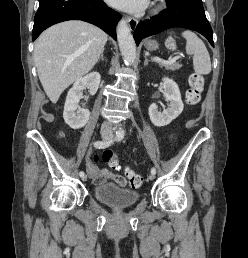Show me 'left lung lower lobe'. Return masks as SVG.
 Here are the masks:
<instances>
[{
	"label": "left lung lower lobe",
	"instance_id": "1",
	"mask_svg": "<svg viewBox=\"0 0 248 258\" xmlns=\"http://www.w3.org/2000/svg\"><path fill=\"white\" fill-rule=\"evenodd\" d=\"M167 9L158 16L142 21L133 34L136 44L150 35L172 27H182L199 32L214 47L212 28L205 16L201 0H166Z\"/></svg>",
	"mask_w": 248,
	"mask_h": 258
}]
</instances>
